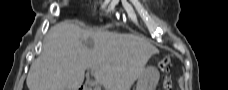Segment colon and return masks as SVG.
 <instances>
[{
	"mask_svg": "<svg viewBox=\"0 0 228 90\" xmlns=\"http://www.w3.org/2000/svg\"><path fill=\"white\" fill-rule=\"evenodd\" d=\"M171 66V58L169 56L164 57L160 62V67L163 71L167 72ZM164 90H173V83L170 77H166L163 82Z\"/></svg>",
	"mask_w": 228,
	"mask_h": 90,
	"instance_id": "5ec220e1",
	"label": "colon"
}]
</instances>
